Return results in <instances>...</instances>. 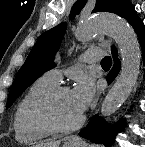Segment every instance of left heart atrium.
Segmentation results:
<instances>
[{
    "instance_id": "left-heart-atrium-1",
    "label": "left heart atrium",
    "mask_w": 145,
    "mask_h": 147,
    "mask_svg": "<svg viewBox=\"0 0 145 147\" xmlns=\"http://www.w3.org/2000/svg\"><path fill=\"white\" fill-rule=\"evenodd\" d=\"M95 93L93 81L88 76H79L71 90L72 99L77 110L82 114L91 104Z\"/></svg>"
}]
</instances>
